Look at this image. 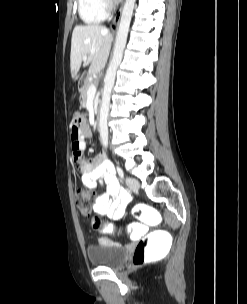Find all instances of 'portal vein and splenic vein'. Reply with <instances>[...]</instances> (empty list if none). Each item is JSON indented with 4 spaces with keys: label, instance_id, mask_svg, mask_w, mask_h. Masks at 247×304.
Instances as JSON below:
<instances>
[{
    "label": "portal vein and splenic vein",
    "instance_id": "18ae733b",
    "mask_svg": "<svg viewBox=\"0 0 247 304\" xmlns=\"http://www.w3.org/2000/svg\"><path fill=\"white\" fill-rule=\"evenodd\" d=\"M87 59V55H84L83 57V60H86ZM96 86L94 84H91L88 88V91H87V95L88 96H94L96 94Z\"/></svg>",
    "mask_w": 247,
    "mask_h": 304
}]
</instances>
